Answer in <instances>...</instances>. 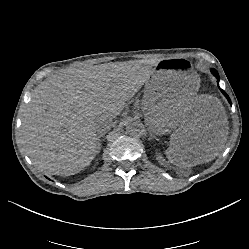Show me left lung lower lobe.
<instances>
[{
    "mask_svg": "<svg viewBox=\"0 0 249 249\" xmlns=\"http://www.w3.org/2000/svg\"><path fill=\"white\" fill-rule=\"evenodd\" d=\"M212 73L213 75L217 78V83H219V76L216 70L212 69ZM221 92L225 95V97L227 98V100L229 101V103H231V100L229 98V96L225 93V91H223L222 89H220Z\"/></svg>",
    "mask_w": 249,
    "mask_h": 249,
    "instance_id": "obj_1",
    "label": "left lung lower lobe"
}]
</instances>
